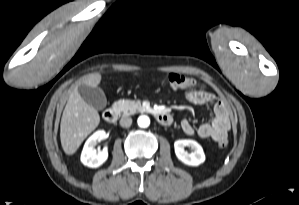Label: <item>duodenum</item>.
Instances as JSON below:
<instances>
[{"mask_svg": "<svg viewBox=\"0 0 299 205\" xmlns=\"http://www.w3.org/2000/svg\"><path fill=\"white\" fill-rule=\"evenodd\" d=\"M103 118L108 123L116 122L118 118V110L114 107H109L103 112ZM157 121L162 125H170L173 121L172 116L167 112H157Z\"/></svg>", "mask_w": 299, "mask_h": 205, "instance_id": "obj_1", "label": "duodenum"}]
</instances>
